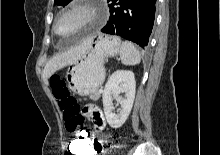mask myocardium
Wrapping results in <instances>:
<instances>
[{
	"instance_id": "1",
	"label": "myocardium",
	"mask_w": 220,
	"mask_h": 155,
	"mask_svg": "<svg viewBox=\"0 0 220 155\" xmlns=\"http://www.w3.org/2000/svg\"><path fill=\"white\" fill-rule=\"evenodd\" d=\"M71 14H79L83 19L79 28L69 34L74 35L85 31L99 21L102 16V6L99 0H75L56 15L52 25V30L56 35L61 36L56 29L59 19Z\"/></svg>"
}]
</instances>
